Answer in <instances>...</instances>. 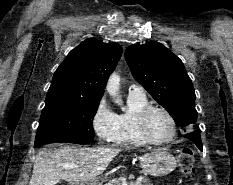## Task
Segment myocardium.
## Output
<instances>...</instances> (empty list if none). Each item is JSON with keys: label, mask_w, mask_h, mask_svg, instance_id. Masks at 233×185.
I'll return each instance as SVG.
<instances>
[{"label": "myocardium", "mask_w": 233, "mask_h": 185, "mask_svg": "<svg viewBox=\"0 0 233 185\" xmlns=\"http://www.w3.org/2000/svg\"><path fill=\"white\" fill-rule=\"evenodd\" d=\"M153 111L163 112L169 118V120L171 122L172 132H171L170 136L164 140H155L150 136V134L148 132L147 121H148L149 115ZM137 127H138V131H139V134L141 135V137L148 144H152V145H163V144L169 143L170 141H172L174 139V137L176 136V133H177V124H176L175 118L173 117L171 112L169 110H167L166 108H164L162 106H157V105H148L147 107H145L144 109H142L140 111V113L137 116Z\"/></svg>", "instance_id": "myocardium-1"}]
</instances>
